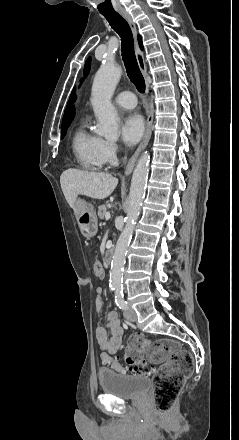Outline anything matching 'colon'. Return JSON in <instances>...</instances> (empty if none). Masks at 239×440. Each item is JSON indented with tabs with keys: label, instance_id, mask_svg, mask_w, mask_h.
Returning a JSON list of instances; mask_svg holds the SVG:
<instances>
[{
	"label": "colon",
	"instance_id": "5ec220e1",
	"mask_svg": "<svg viewBox=\"0 0 239 440\" xmlns=\"http://www.w3.org/2000/svg\"><path fill=\"white\" fill-rule=\"evenodd\" d=\"M93 272L103 275L101 263L93 261ZM148 351L149 361L143 357ZM126 366L116 360L112 362L115 371L126 373H154L153 400L158 413H167L174 405L184 382L190 377L194 360L192 354L182 349L171 339L149 341L139 333L132 334L125 347ZM159 365L158 368H155Z\"/></svg>",
	"mask_w": 239,
	"mask_h": 440
}]
</instances>
